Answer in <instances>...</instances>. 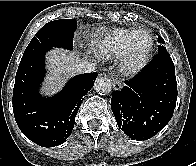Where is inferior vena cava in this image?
<instances>
[{
    "label": "inferior vena cava",
    "instance_id": "obj_1",
    "mask_svg": "<svg viewBox=\"0 0 196 166\" xmlns=\"http://www.w3.org/2000/svg\"><path fill=\"white\" fill-rule=\"evenodd\" d=\"M95 66L93 63H89L87 61L81 62L77 65L76 71L78 73H92L95 71Z\"/></svg>",
    "mask_w": 196,
    "mask_h": 166
}]
</instances>
